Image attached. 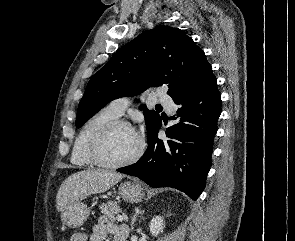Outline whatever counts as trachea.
<instances>
[{
  "instance_id": "obj_1",
  "label": "trachea",
  "mask_w": 295,
  "mask_h": 241,
  "mask_svg": "<svg viewBox=\"0 0 295 241\" xmlns=\"http://www.w3.org/2000/svg\"><path fill=\"white\" fill-rule=\"evenodd\" d=\"M157 107L162 108L161 105H157Z\"/></svg>"
}]
</instances>
